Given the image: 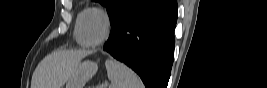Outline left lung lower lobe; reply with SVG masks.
<instances>
[{
	"instance_id": "left-lung-lower-lobe-1",
	"label": "left lung lower lobe",
	"mask_w": 267,
	"mask_h": 88,
	"mask_svg": "<svg viewBox=\"0 0 267 88\" xmlns=\"http://www.w3.org/2000/svg\"><path fill=\"white\" fill-rule=\"evenodd\" d=\"M176 21V0H131L112 25L104 50L137 72L147 88H166Z\"/></svg>"
}]
</instances>
